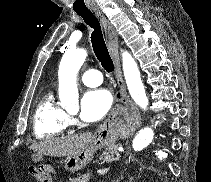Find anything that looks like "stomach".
<instances>
[{
  "mask_svg": "<svg viewBox=\"0 0 211 182\" xmlns=\"http://www.w3.org/2000/svg\"><path fill=\"white\" fill-rule=\"evenodd\" d=\"M118 136L119 133L112 128L98 131L86 149L75 155L66 157L64 161L65 169L71 172L83 169L92 160L97 150L113 146ZM41 158V154H34L32 156L35 162L40 161Z\"/></svg>",
  "mask_w": 211,
  "mask_h": 182,
  "instance_id": "stomach-1",
  "label": "stomach"
}]
</instances>
